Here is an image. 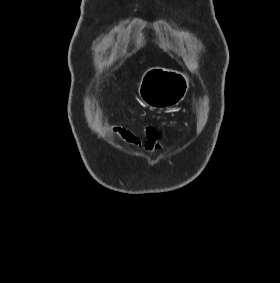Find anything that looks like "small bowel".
Wrapping results in <instances>:
<instances>
[{
  "label": "small bowel",
  "mask_w": 280,
  "mask_h": 283,
  "mask_svg": "<svg viewBox=\"0 0 280 283\" xmlns=\"http://www.w3.org/2000/svg\"><path fill=\"white\" fill-rule=\"evenodd\" d=\"M167 124H175V122H169ZM111 130L114 134L138 150L148 152H158L160 150L158 141L159 133L156 126H150L146 129V139L144 141L137 134L124 126L115 125Z\"/></svg>",
  "instance_id": "c3829d8e"
}]
</instances>
